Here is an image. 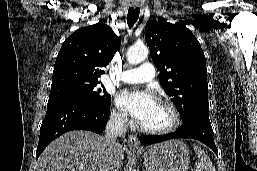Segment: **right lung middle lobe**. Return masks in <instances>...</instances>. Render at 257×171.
<instances>
[{
    "instance_id": "1",
    "label": "right lung middle lobe",
    "mask_w": 257,
    "mask_h": 171,
    "mask_svg": "<svg viewBox=\"0 0 257 171\" xmlns=\"http://www.w3.org/2000/svg\"><path fill=\"white\" fill-rule=\"evenodd\" d=\"M97 84L98 82L71 83L57 89H51L49 100L71 97L85 99L98 106L109 105L111 96L106 92L104 86L99 90L96 89Z\"/></svg>"
}]
</instances>
